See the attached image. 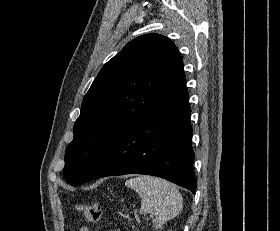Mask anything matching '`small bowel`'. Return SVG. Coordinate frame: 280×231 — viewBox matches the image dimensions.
<instances>
[{
    "label": "small bowel",
    "mask_w": 280,
    "mask_h": 231,
    "mask_svg": "<svg viewBox=\"0 0 280 231\" xmlns=\"http://www.w3.org/2000/svg\"><path fill=\"white\" fill-rule=\"evenodd\" d=\"M79 231H90V229L87 226H81Z\"/></svg>",
    "instance_id": "1"
}]
</instances>
